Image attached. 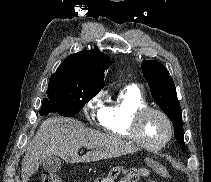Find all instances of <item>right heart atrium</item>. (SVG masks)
Segmentation results:
<instances>
[{
    "instance_id": "d8ad5b80",
    "label": "right heart atrium",
    "mask_w": 211,
    "mask_h": 182,
    "mask_svg": "<svg viewBox=\"0 0 211 182\" xmlns=\"http://www.w3.org/2000/svg\"><path fill=\"white\" fill-rule=\"evenodd\" d=\"M104 94L99 93L92 97L85 105L87 117L92 123H100L106 107L103 104Z\"/></svg>"
}]
</instances>
